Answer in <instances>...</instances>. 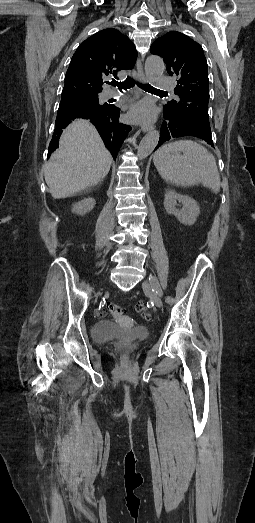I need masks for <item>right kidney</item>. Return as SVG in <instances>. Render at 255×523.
Returning <instances> with one entry per match:
<instances>
[{
  "instance_id": "obj_1",
  "label": "right kidney",
  "mask_w": 255,
  "mask_h": 523,
  "mask_svg": "<svg viewBox=\"0 0 255 523\" xmlns=\"http://www.w3.org/2000/svg\"><path fill=\"white\" fill-rule=\"evenodd\" d=\"M94 206V198H84V200H81V202H77V204H74L72 212H74V214H80V216H83V214H86V212H90V210H93Z\"/></svg>"
}]
</instances>
